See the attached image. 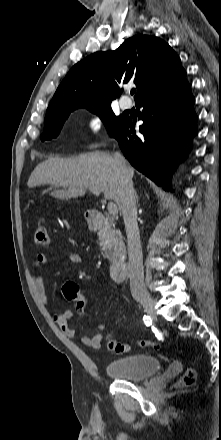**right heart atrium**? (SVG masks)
Returning a JSON list of instances; mask_svg holds the SVG:
<instances>
[{
    "mask_svg": "<svg viewBox=\"0 0 221 440\" xmlns=\"http://www.w3.org/2000/svg\"><path fill=\"white\" fill-rule=\"evenodd\" d=\"M104 126L105 122L103 116L98 112H94L88 115L84 122V129L86 131V134L91 138L100 135L104 130Z\"/></svg>",
    "mask_w": 221,
    "mask_h": 440,
    "instance_id": "right-heart-atrium-1",
    "label": "right heart atrium"
}]
</instances>
